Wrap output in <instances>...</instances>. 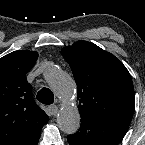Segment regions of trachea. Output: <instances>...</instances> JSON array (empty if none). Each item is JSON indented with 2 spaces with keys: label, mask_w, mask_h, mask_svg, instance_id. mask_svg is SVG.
I'll use <instances>...</instances> for the list:
<instances>
[{
  "label": "trachea",
  "mask_w": 145,
  "mask_h": 145,
  "mask_svg": "<svg viewBox=\"0 0 145 145\" xmlns=\"http://www.w3.org/2000/svg\"><path fill=\"white\" fill-rule=\"evenodd\" d=\"M36 98L43 104L49 105L54 102V94L48 88H42L38 93Z\"/></svg>",
  "instance_id": "3493384b"
}]
</instances>
